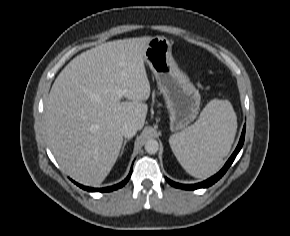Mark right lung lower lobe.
<instances>
[{"mask_svg":"<svg viewBox=\"0 0 290 236\" xmlns=\"http://www.w3.org/2000/svg\"><path fill=\"white\" fill-rule=\"evenodd\" d=\"M131 173H132V169H131L129 175L127 176V178L124 181H122L119 184H116L114 186H110V187H106V188H90V187H86V186L80 185V184H78L76 182H75V184H77L82 189L90 191V192H109V191H113V190H116V189L121 188L122 186H124L128 182V180H129V178L131 176Z\"/></svg>","mask_w":290,"mask_h":236,"instance_id":"obj_1","label":"right lung lower lobe"}]
</instances>
